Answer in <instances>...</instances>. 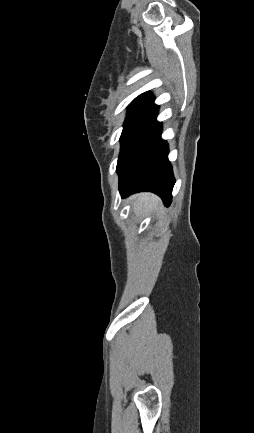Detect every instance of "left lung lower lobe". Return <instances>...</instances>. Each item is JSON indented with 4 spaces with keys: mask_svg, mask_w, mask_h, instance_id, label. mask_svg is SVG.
Wrapping results in <instances>:
<instances>
[{
    "mask_svg": "<svg viewBox=\"0 0 254 433\" xmlns=\"http://www.w3.org/2000/svg\"><path fill=\"white\" fill-rule=\"evenodd\" d=\"M157 112L134 137L120 164L119 191L121 197L141 191L158 194L168 206L175 183L168 161V146L161 140V124Z\"/></svg>",
    "mask_w": 254,
    "mask_h": 433,
    "instance_id": "left-lung-lower-lobe-1",
    "label": "left lung lower lobe"
}]
</instances>
